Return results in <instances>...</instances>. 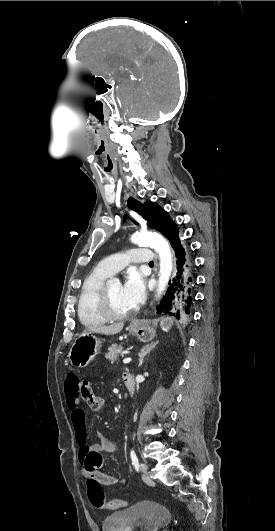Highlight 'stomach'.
<instances>
[{
    "instance_id": "1",
    "label": "stomach",
    "mask_w": 275,
    "mask_h": 531,
    "mask_svg": "<svg viewBox=\"0 0 275 531\" xmlns=\"http://www.w3.org/2000/svg\"><path fill=\"white\" fill-rule=\"evenodd\" d=\"M159 327L162 331H169L173 325L171 317H161L158 319ZM134 325V327H132ZM129 333L137 337L141 343H149L156 337V329L150 321H131ZM102 349V339L96 337L94 333H82L75 339L68 355V359L73 367H87L90 361H93L96 355H99Z\"/></svg>"
}]
</instances>
